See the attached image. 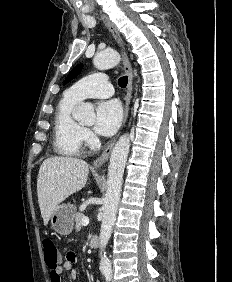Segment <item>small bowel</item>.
I'll list each match as a JSON object with an SVG mask.
<instances>
[{
  "mask_svg": "<svg viewBox=\"0 0 232 282\" xmlns=\"http://www.w3.org/2000/svg\"><path fill=\"white\" fill-rule=\"evenodd\" d=\"M77 257L74 252L69 251L66 254V259L61 263L54 271L50 272V282H62V274L64 272L69 273V278L71 280H76L78 277V272L74 265L76 263Z\"/></svg>",
  "mask_w": 232,
  "mask_h": 282,
  "instance_id": "obj_1",
  "label": "small bowel"
}]
</instances>
